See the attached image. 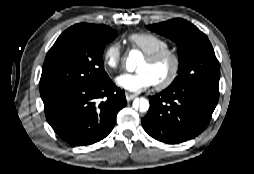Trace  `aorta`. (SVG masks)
Wrapping results in <instances>:
<instances>
[{"mask_svg": "<svg viewBox=\"0 0 254 174\" xmlns=\"http://www.w3.org/2000/svg\"><path fill=\"white\" fill-rule=\"evenodd\" d=\"M140 53L136 50H132L126 60V69L129 72H133L136 68V61L138 60ZM133 107L139 109L140 112H147L149 109V101L146 98L135 99L133 101Z\"/></svg>", "mask_w": 254, "mask_h": 174, "instance_id": "762f6f07", "label": "aorta"}]
</instances>
